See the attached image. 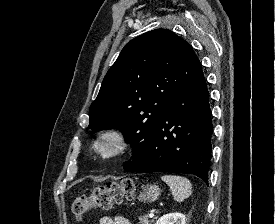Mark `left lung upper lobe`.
<instances>
[{"mask_svg": "<svg viewBox=\"0 0 275 224\" xmlns=\"http://www.w3.org/2000/svg\"><path fill=\"white\" fill-rule=\"evenodd\" d=\"M200 67L192 47L172 31L156 29L134 38L103 79L90 106L89 128L94 132L121 130L133 147L134 159L180 89Z\"/></svg>", "mask_w": 275, "mask_h": 224, "instance_id": "1", "label": "left lung upper lobe"}]
</instances>
